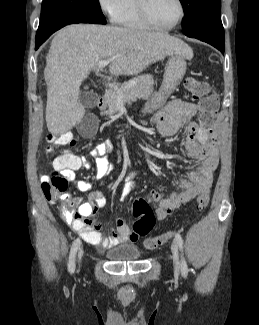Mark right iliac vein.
<instances>
[{
    "label": "right iliac vein",
    "instance_id": "1",
    "mask_svg": "<svg viewBox=\"0 0 259 325\" xmlns=\"http://www.w3.org/2000/svg\"><path fill=\"white\" fill-rule=\"evenodd\" d=\"M82 256H83V249L80 248V250H79V252H78V263H79V265H80V262H81Z\"/></svg>",
    "mask_w": 259,
    "mask_h": 325
}]
</instances>
